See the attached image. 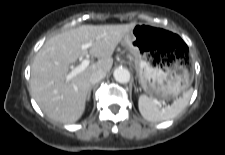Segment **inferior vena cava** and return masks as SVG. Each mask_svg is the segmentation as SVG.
<instances>
[{
  "mask_svg": "<svg viewBox=\"0 0 225 155\" xmlns=\"http://www.w3.org/2000/svg\"><path fill=\"white\" fill-rule=\"evenodd\" d=\"M106 72L103 70H97L93 72L90 76V83L91 84H96L100 82L103 78H105Z\"/></svg>",
  "mask_w": 225,
  "mask_h": 155,
  "instance_id": "inferior-vena-cava-1",
  "label": "inferior vena cava"
}]
</instances>
